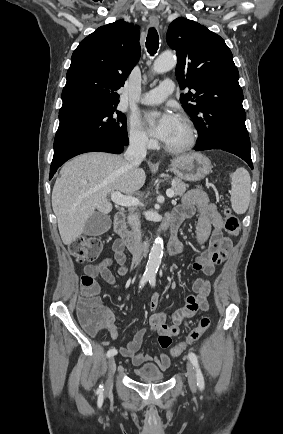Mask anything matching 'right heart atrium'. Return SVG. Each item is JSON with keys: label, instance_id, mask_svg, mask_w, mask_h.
Returning <instances> with one entry per match:
<instances>
[{"label": "right heart atrium", "instance_id": "right-heart-atrium-1", "mask_svg": "<svg viewBox=\"0 0 283 434\" xmlns=\"http://www.w3.org/2000/svg\"><path fill=\"white\" fill-rule=\"evenodd\" d=\"M128 138L130 144L139 149H149L154 145V141L141 128L136 119H131L129 121Z\"/></svg>", "mask_w": 283, "mask_h": 434}]
</instances>
